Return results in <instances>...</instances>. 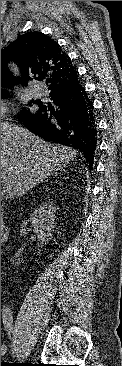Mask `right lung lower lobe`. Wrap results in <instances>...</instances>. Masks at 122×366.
<instances>
[{
  "instance_id": "obj_1",
  "label": "right lung lower lobe",
  "mask_w": 122,
  "mask_h": 366,
  "mask_svg": "<svg viewBox=\"0 0 122 366\" xmlns=\"http://www.w3.org/2000/svg\"><path fill=\"white\" fill-rule=\"evenodd\" d=\"M53 105L38 103L39 110L21 116L24 125L45 141L76 149L92 168L97 130L92 103L80 84L78 73L67 83L49 87Z\"/></svg>"
}]
</instances>
